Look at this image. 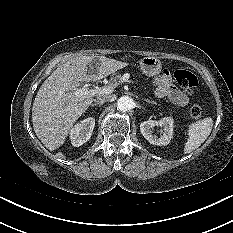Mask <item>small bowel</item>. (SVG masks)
<instances>
[{"label": "small bowel", "instance_id": "c3829d8e", "mask_svg": "<svg viewBox=\"0 0 233 233\" xmlns=\"http://www.w3.org/2000/svg\"><path fill=\"white\" fill-rule=\"evenodd\" d=\"M154 83L158 97H168L177 106H185L188 103L187 95L173 84L169 72L165 71Z\"/></svg>", "mask_w": 233, "mask_h": 233}]
</instances>
